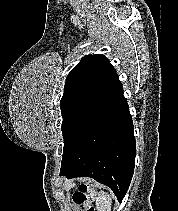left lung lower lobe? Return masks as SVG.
I'll return each instance as SVG.
<instances>
[{
	"instance_id": "left-lung-lower-lobe-1",
	"label": "left lung lower lobe",
	"mask_w": 178,
	"mask_h": 211,
	"mask_svg": "<svg viewBox=\"0 0 178 211\" xmlns=\"http://www.w3.org/2000/svg\"><path fill=\"white\" fill-rule=\"evenodd\" d=\"M133 122L118 85L104 112L72 154L61 163V176L91 177L124 198L135 166Z\"/></svg>"
}]
</instances>
